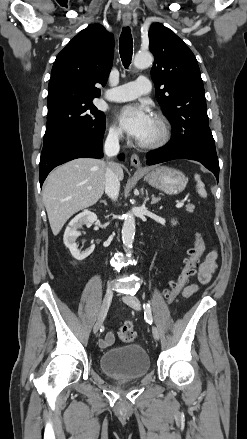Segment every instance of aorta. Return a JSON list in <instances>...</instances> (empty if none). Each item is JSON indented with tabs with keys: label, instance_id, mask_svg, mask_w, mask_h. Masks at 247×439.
I'll return each mask as SVG.
<instances>
[{
	"label": "aorta",
	"instance_id": "1",
	"mask_svg": "<svg viewBox=\"0 0 247 439\" xmlns=\"http://www.w3.org/2000/svg\"><path fill=\"white\" fill-rule=\"evenodd\" d=\"M153 62L150 53L138 52L134 57V66L139 69L149 67ZM135 236V218L131 212H127L124 216V224L122 227V241L128 255H131V249Z\"/></svg>",
	"mask_w": 247,
	"mask_h": 439
}]
</instances>
